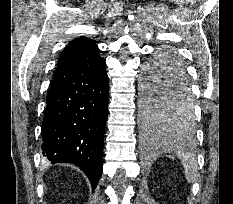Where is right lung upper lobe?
Returning a JSON list of instances; mask_svg holds the SVG:
<instances>
[{"instance_id":"1","label":"right lung upper lobe","mask_w":233,"mask_h":204,"mask_svg":"<svg viewBox=\"0 0 233 204\" xmlns=\"http://www.w3.org/2000/svg\"><path fill=\"white\" fill-rule=\"evenodd\" d=\"M103 63L99 49L92 40L85 37L76 38L70 41L61 53L51 86L63 81L77 67H97Z\"/></svg>"}]
</instances>
